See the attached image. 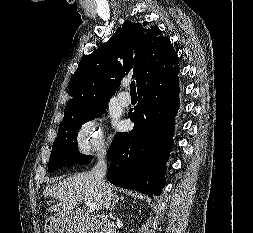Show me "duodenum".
I'll list each match as a JSON object with an SVG mask.
<instances>
[{
    "mask_svg": "<svg viewBox=\"0 0 253 233\" xmlns=\"http://www.w3.org/2000/svg\"><path fill=\"white\" fill-rule=\"evenodd\" d=\"M87 233H110L113 226L104 221L101 217H94V220L86 225Z\"/></svg>",
    "mask_w": 253,
    "mask_h": 233,
    "instance_id": "410a0bca",
    "label": "duodenum"
}]
</instances>
